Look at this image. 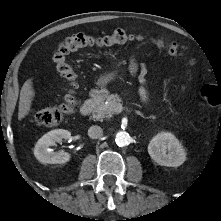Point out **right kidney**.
Here are the masks:
<instances>
[{
    "instance_id": "ca27d5eb",
    "label": "right kidney",
    "mask_w": 221,
    "mask_h": 221,
    "mask_svg": "<svg viewBox=\"0 0 221 221\" xmlns=\"http://www.w3.org/2000/svg\"><path fill=\"white\" fill-rule=\"evenodd\" d=\"M71 138V133L64 129H55L43 135L35 145L34 155L41 163L61 164L70 160V154L64 151L53 152L50 146L63 139Z\"/></svg>"
}]
</instances>
